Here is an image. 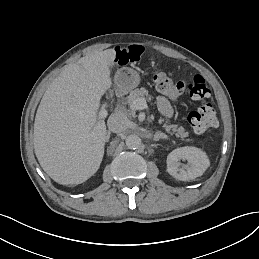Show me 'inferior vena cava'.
Listing matches in <instances>:
<instances>
[{"instance_id":"inferior-vena-cava-1","label":"inferior vena cava","mask_w":259,"mask_h":259,"mask_svg":"<svg viewBox=\"0 0 259 259\" xmlns=\"http://www.w3.org/2000/svg\"><path fill=\"white\" fill-rule=\"evenodd\" d=\"M107 125L110 131L115 133H121L124 130H126L128 125V119L122 113H113L108 118Z\"/></svg>"}]
</instances>
